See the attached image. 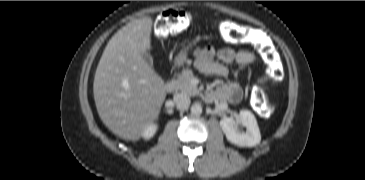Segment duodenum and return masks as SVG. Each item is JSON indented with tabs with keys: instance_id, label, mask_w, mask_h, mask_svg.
I'll list each match as a JSON object with an SVG mask.
<instances>
[{
	"instance_id": "1",
	"label": "duodenum",
	"mask_w": 365,
	"mask_h": 180,
	"mask_svg": "<svg viewBox=\"0 0 365 180\" xmlns=\"http://www.w3.org/2000/svg\"><path fill=\"white\" fill-rule=\"evenodd\" d=\"M177 88V82L175 80H169L165 85H164V89L167 92H173L175 91Z\"/></svg>"
}]
</instances>
